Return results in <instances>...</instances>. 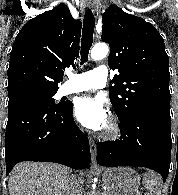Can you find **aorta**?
I'll list each match as a JSON object with an SVG mask.
<instances>
[{"mask_svg":"<svg viewBox=\"0 0 178 195\" xmlns=\"http://www.w3.org/2000/svg\"><path fill=\"white\" fill-rule=\"evenodd\" d=\"M109 53V47L104 43L96 44L91 50V58L94 60H101Z\"/></svg>","mask_w":178,"mask_h":195,"instance_id":"762f6f07","label":"aorta"}]
</instances>
